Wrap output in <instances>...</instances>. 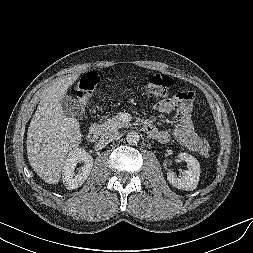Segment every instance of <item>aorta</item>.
<instances>
[{"label": "aorta", "mask_w": 253, "mask_h": 253, "mask_svg": "<svg viewBox=\"0 0 253 253\" xmlns=\"http://www.w3.org/2000/svg\"><path fill=\"white\" fill-rule=\"evenodd\" d=\"M139 139V134L136 131H131L126 136L129 145H136L139 142Z\"/></svg>", "instance_id": "762f6f07"}]
</instances>
